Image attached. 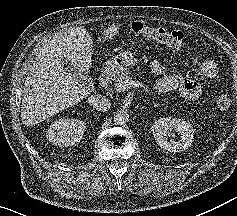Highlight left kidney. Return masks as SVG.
<instances>
[{"mask_svg": "<svg viewBox=\"0 0 237 216\" xmlns=\"http://www.w3.org/2000/svg\"><path fill=\"white\" fill-rule=\"evenodd\" d=\"M156 143L170 152H180L189 148L193 142L192 126L181 119L160 118L152 126Z\"/></svg>", "mask_w": 237, "mask_h": 216, "instance_id": "obj_1", "label": "left kidney"}]
</instances>
